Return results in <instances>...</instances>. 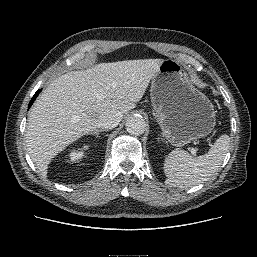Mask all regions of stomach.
<instances>
[{"label":"stomach","instance_id":"obj_1","mask_svg":"<svg viewBox=\"0 0 257 257\" xmlns=\"http://www.w3.org/2000/svg\"><path fill=\"white\" fill-rule=\"evenodd\" d=\"M154 116L167 141L176 147L207 136L216 124L211 101L173 59L163 60L151 80Z\"/></svg>","mask_w":257,"mask_h":257}]
</instances>
